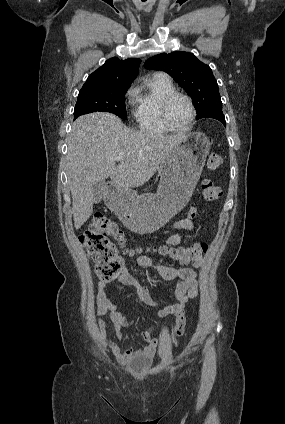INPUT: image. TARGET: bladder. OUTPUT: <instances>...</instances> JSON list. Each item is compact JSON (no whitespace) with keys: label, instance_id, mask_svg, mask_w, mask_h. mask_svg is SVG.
<instances>
[{"label":"bladder","instance_id":"obj_1","mask_svg":"<svg viewBox=\"0 0 285 424\" xmlns=\"http://www.w3.org/2000/svg\"><path fill=\"white\" fill-rule=\"evenodd\" d=\"M151 362V356L147 351H135L132 354L130 361L128 362V366L133 371H139L146 366H148Z\"/></svg>","mask_w":285,"mask_h":424}]
</instances>
